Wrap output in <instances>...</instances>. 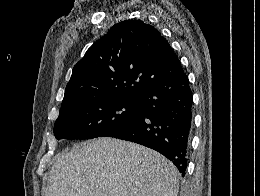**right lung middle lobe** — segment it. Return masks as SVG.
Masks as SVG:
<instances>
[{
	"instance_id": "dd1d6c3e",
	"label": "right lung middle lobe",
	"mask_w": 260,
	"mask_h": 196,
	"mask_svg": "<svg viewBox=\"0 0 260 196\" xmlns=\"http://www.w3.org/2000/svg\"><path fill=\"white\" fill-rule=\"evenodd\" d=\"M138 98L121 94L100 95L60 109L54 126L56 139L106 137L143 118Z\"/></svg>"
}]
</instances>
